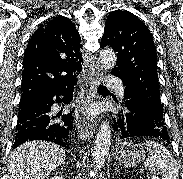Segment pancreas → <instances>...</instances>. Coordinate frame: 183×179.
<instances>
[{"instance_id": "cf45deb5", "label": "pancreas", "mask_w": 183, "mask_h": 179, "mask_svg": "<svg viewBox=\"0 0 183 179\" xmlns=\"http://www.w3.org/2000/svg\"><path fill=\"white\" fill-rule=\"evenodd\" d=\"M148 179H158V178H156V177H151V178H148Z\"/></svg>"}]
</instances>
